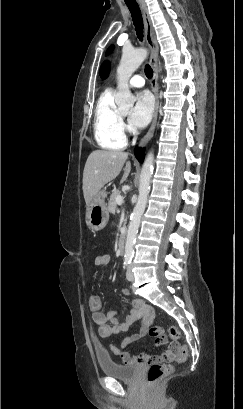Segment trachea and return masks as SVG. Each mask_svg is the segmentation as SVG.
<instances>
[{
    "instance_id": "1",
    "label": "trachea",
    "mask_w": 243,
    "mask_h": 409,
    "mask_svg": "<svg viewBox=\"0 0 243 409\" xmlns=\"http://www.w3.org/2000/svg\"><path fill=\"white\" fill-rule=\"evenodd\" d=\"M125 3L131 12V16L133 19L137 37L139 38L140 41H143V19H142V15H141L139 6L135 1L125 0ZM145 75L147 78L153 77V71L149 65L145 66Z\"/></svg>"
}]
</instances>
